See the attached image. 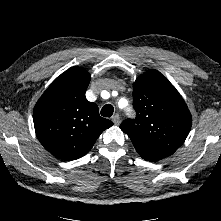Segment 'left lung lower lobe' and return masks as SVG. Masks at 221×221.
I'll list each match as a JSON object with an SVG mask.
<instances>
[{"mask_svg":"<svg viewBox=\"0 0 221 221\" xmlns=\"http://www.w3.org/2000/svg\"><path fill=\"white\" fill-rule=\"evenodd\" d=\"M134 147H135L136 151L139 153V155L147 161L155 162V161H158L161 159L156 155H152V154L146 152L143 148H141L139 146H134Z\"/></svg>","mask_w":221,"mask_h":221,"instance_id":"left-lung-lower-lobe-1","label":"left lung lower lobe"}]
</instances>
